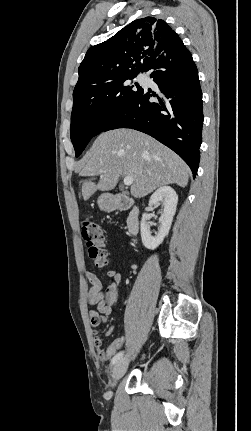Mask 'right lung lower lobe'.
I'll use <instances>...</instances> for the list:
<instances>
[{
  "label": "right lung lower lobe",
  "instance_id": "obj_1",
  "mask_svg": "<svg viewBox=\"0 0 251 431\" xmlns=\"http://www.w3.org/2000/svg\"><path fill=\"white\" fill-rule=\"evenodd\" d=\"M146 71L160 92L141 89L104 131L132 128L144 132L176 152L195 178L202 142L203 105L198 71L184 45L167 49ZM158 100L151 102L150 98Z\"/></svg>",
  "mask_w": 251,
  "mask_h": 431
}]
</instances>
